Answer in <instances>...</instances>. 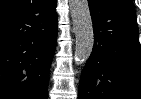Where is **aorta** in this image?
<instances>
[{
	"mask_svg": "<svg viewBox=\"0 0 141 99\" xmlns=\"http://www.w3.org/2000/svg\"><path fill=\"white\" fill-rule=\"evenodd\" d=\"M70 12L75 32V64L85 63L94 45V33L88 0H69Z\"/></svg>",
	"mask_w": 141,
	"mask_h": 99,
	"instance_id": "762f6f07",
	"label": "aorta"
}]
</instances>
